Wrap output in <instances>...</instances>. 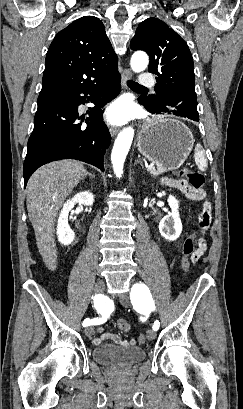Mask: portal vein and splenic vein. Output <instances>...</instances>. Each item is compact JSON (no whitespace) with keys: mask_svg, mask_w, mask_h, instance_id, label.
Returning <instances> with one entry per match:
<instances>
[{"mask_svg":"<svg viewBox=\"0 0 243 409\" xmlns=\"http://www.w3.org/2000/svg\"><path fill=\"white\" fill-rule=\"evenodd\" d=\"M147 169H148V170H152V169H154V166H153V165H149V166H147Z\"/></svg>","mask_w":243,"mask_h":409,"instance_id":"portal-vein-and-splenic-vein-1","label":"portal vein and splenic vein"}]
</instances>
